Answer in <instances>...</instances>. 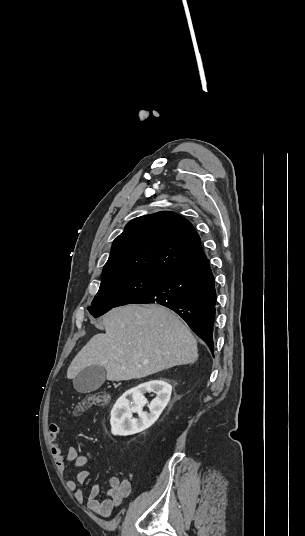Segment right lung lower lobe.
Instances as JSON below:
<instances>
[{
  "mask_svg": "<svg viewBox=\"0 0 305 536\" xmlns=\"http://www.w3.org/2000/svg\"><path fill=\"white\" fill-rule=\"evenodd\" d=\"M133 303H158L180 315L213 353L216 292L206 258L168 275Z\"/></svg>",
  "mask_w": 305,
  "mask_h": 536,
  "instance_id": "right-lung-lower-lobe-1",
  "label": "right lung lower lobe"
}]
</instances>
